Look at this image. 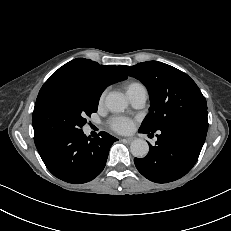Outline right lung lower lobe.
Here are the masks:
<instances>
[{
  "mask_svg": "<svg viewBox=\"0 0 231 231\" xmlns=\"http://www.w3.org/2000/svg\"><path fill=\"white\" fill-rule=\"evenodd\" d=\"M118 139L106 132L86 137L82 130L52 138L34 137L37 150L57 178L80 184L98 176L106 165L109 149Z\"/></svg>",
  "mask_w": 231,
  "mask_h": 231,
  "instance_id": "1",
  "label": "right lung lower lobe"
}]
</instances>
